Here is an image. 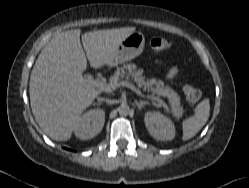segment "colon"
Masks as SVG:
<instances>
[{"mask_svg": "<svg viewBox=\"0 0 249 188\" xmlns=\"http://www.w3.org/2000/svg\"><path fill=\"white\" fill-rule=\"evenodd\" d=\"M150 45L154 50L165 51L171 47L172 42L168 38L154 37L151 39ZM183 92L188 102L192 104H195L200 100L201 92L189 84L184 85Z\"/></svg>", "mask_w": 249, "mask_h": 188, "instance_id": "1", "label": "colon"}]
</instances>
